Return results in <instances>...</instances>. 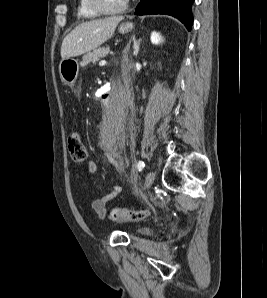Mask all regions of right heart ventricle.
I'll list each match as a JSON object with an SVG mask.
<instances>
[{
  "mask_svg": "<svg viewBox=\"0 0 267 298\" xmlns=\"http://www.w3.org/2000/svg\"><path fill=\"white\" fill-rule=\"evenodd\" d=\"M77 15L79 18L86 20H93L100 16L95 10L90 6L89 0H79L77 6Z\"/></svg>",
  "mask_w": 267,
  "mask_h": 298,
  "instance_id": "obj_1",
  "label": "right heart ventricle"
}]
</instances>
